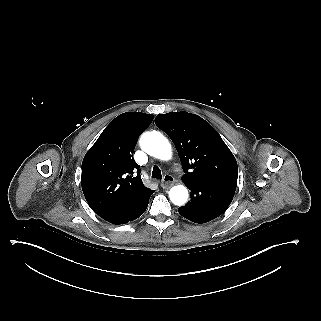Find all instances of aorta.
I'll list each match as a JSON object with an SVG mask.
<instances>
[{
    "label": "aorta",
    "instance_id": "aorta-1",
    "mask_svg": "<svg viewBox=\"0 0 321 321\" xmlns=\"http://www.w3.org/2000/svg\"><path fill=\"white\" fill-rule=\"evenodd\" d=\"M141 149L160 160H170L172 148L166 137L158 131L144 133L140 138ZM169 197L173 204L182 206L188 199V190L184 185H177L170 189Z\"/></svg>",
    "mask_w": 321,
    "mask_h": 321
}]
</instances>
